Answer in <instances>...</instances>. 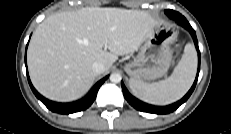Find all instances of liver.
Segmentation results:
<instances>
[{"instance_id":"1","label":"liver","mask_w":231,"mask_h":134,"mask_svg":"<svg viewBox=\"0 0 231 134\" xmlns=\"http://www.w3.org/2000/svg\"><path fill=\"white\" fill-rule=\"evenodd\" d=\"M156 25L145 11L121 8L52 14L37 27L28 48L32 83L50 100H76L97 77L93 63L102 62L108 71L118 56L137 51Z\"/></svg>"}]
</instances>
